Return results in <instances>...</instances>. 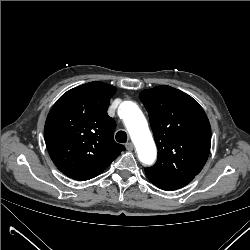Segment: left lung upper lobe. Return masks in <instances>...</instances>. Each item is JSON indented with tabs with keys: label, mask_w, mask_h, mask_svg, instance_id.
<instances>
[{
	"label": "left lung upper lobe",
	"mask_w": 250,
	"mask_h": 250,
	"mask_svg": "<svg viewBox=\"0 0 250 250\" xmlns=\"http://www.w3.org/2000/svg\"><path fill=\"white\" fill-rule=\"evenodd\" d=\"M158 147V159L146 169L163 176H196L211 147V127L202 107L167 85L140 93Z\"/></svg>",
	"instance_id": "1"
}]
</instances>
